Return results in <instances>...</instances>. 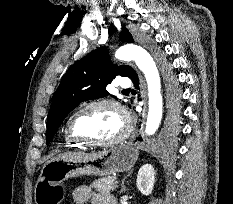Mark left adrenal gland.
I'll return each mask as SVG.
<instances>
[{
    "mask_svg": "<svg viewBox=\"0 0 233 204\" xmlns=\"http://www.w3.org/2000/svg\"><path fill=\"white\" fill-rule=\"evenodd\" d=\"M124 181H125V178L123 179L122 184H121L122 185V189L120 191V194L126 191V187L124 186Z\"/></svg>",
    "mask_w": 233,
    "mask_h": 204,
    "instance_id": "obj_1",
    "label": "left adrenal gland"
}]
</instances>
